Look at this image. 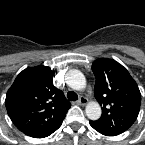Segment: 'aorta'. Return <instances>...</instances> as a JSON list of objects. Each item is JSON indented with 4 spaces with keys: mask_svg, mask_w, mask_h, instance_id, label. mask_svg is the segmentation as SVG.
<instances>
[{
    "mask_svg": "<svg viewBox=\"0 0 145 145\" xmlns=\"http://www.w3.org/2000/svg\"><path fill=\"white\" fill-rule=\"evenodd\" d=\"M66 82L74 90H82L86 87V78L79 70H70L67 73ZM85 112L90 120H97L101 116L100 105L93 101L86 105Z\"/></svg>",
    "mask_w": 145,
    "mask_h": 145,
    "instance_id": "aorta-1",
    "label": "aorta"
}]
</instances>
